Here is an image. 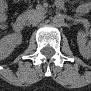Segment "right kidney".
<instances>
[{"instance_id": "ca27d5eb", "label": "right kidney", "mask_w": 91, "mask_h": 91, "mask_svg": "<svg viewBox=\"0 0 91 91\" xmlns=\"http://www.w3.org/2000/svg\"><path fill=\"white\" fill-rule=\"evenodd\" d=\"M22 41V35L20 33H13L4 36L0 39V58H7L14 48Z\"/></svg>"}]
</instances>
